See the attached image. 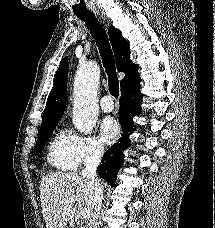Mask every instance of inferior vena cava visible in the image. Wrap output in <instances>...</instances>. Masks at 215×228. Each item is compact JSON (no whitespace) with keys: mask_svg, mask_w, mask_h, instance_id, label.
<instances>
[{"mask_svg":"<svg viewBox=\"0 0 215 228\" xmlns=\"http://www.w3.org/2000/svg\"><path fill=\"white\" fill-rule=\"evenodd\" d=\"M104 154L103 148H93L89 156H86L83 160L84 170L81 172V176H85L90 180V190H92V210L93 214L89 218V228H99L98 214H100L102 200H103V188L102 184L98 182L97 168L101 162V158Z\"/></svg>","mask_w":215,"mask_h":228,"instance_id":"1","label":"inferior vena cava"}]
</instances>
